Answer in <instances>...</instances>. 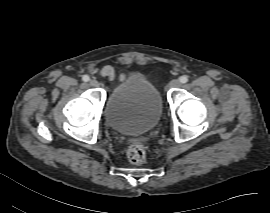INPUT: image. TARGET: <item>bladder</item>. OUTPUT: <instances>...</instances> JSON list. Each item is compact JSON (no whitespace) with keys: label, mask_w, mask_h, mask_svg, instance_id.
Segmentation results:
<instances>
[{"label":"bladder","mask_w":270,"mask_h":213,"mask_svg":"<svg viewBox=\"0 0 270 213\" xmlns=\"http://www.w3.org/2000/svg\"><path fill=\"white\" fill-rule=\"evenodd\" d=\"M163 112L160 93L140 73L129 75L108 95L105 117L111 128L127 135H141L154 129Z\"/></svg>","instance_id":"obj_1"}]
</instances>
